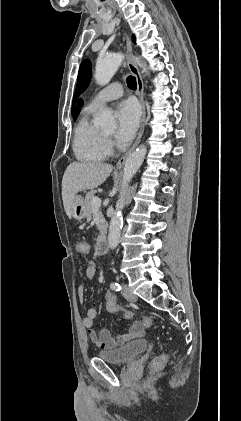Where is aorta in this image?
<instances>
[{
	"label": "aorta",
	"instance_id": "obj_1",
	"mask_svg": "<svg viewBox=\"0 0 241 421\" xmlns=\"http://www.w3.org/2000/svg\"><path fill=\"white\" fill-rule=\"evenodd\" d=\"M124 55L121 53H114L102 59H99L95 68V80L99 85H106L114 76L118 67L120 66ZM137 64L142 67L143 72H147L146 65L141 63L138 57L135 58ZM96 125L100 128H113L115 127V117L110 109L105 108L101 114L96 118ZM147 148L142 145L132 152L125 161L123 175H122V192L116 203V208L111 216L108 245L110 249H115L119 244L121 228H122V209L125 203L126 189L131 182L133 176L140 168Z\"/></svg>",
	"mask_w": 241,
	"mask_h": 421
}]
</instances>
